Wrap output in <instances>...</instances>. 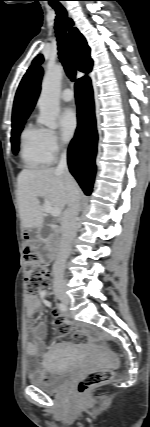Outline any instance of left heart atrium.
Instances as JSON below:
<instances>
[{"label":"left heart atrium","instance_id":"1","mask_svg":"<svg viewBox=\"0 0 150 427\" xmlns=\"http://www.w3.org/2000/svg\"><path fill=\"white\" fill-rule=\"evenodd\" d=\"M59 123L64 139H71L78 124L75 111L72 108H66L60 115Z\"/></svg>","mask_w":150,"mask_h":427}]
</instances>
